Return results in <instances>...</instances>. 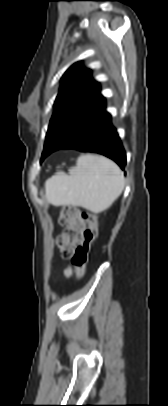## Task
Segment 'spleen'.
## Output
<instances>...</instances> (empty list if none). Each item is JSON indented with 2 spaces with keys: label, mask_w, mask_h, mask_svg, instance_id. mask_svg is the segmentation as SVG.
Instances as JSON below:
<instances>
[{
  "label": "spleen",
  "mask_w": 168,
  "mask_h": 406,
  "mask_svg": "<svg viewBox=\"0 0 168 406\" xmlns=\"http://www.w3.org/2000/svg\"><path fill=\"white\" fill-rule=\"evenodd\" d=\"M124 186V175L116 163L86 154L77 159L69 174L60 171L45 182V197L55 206H80L98 214L113 204Z\"/></svg>",
  "instance_id": "spleen-1"
}]
</instances>
